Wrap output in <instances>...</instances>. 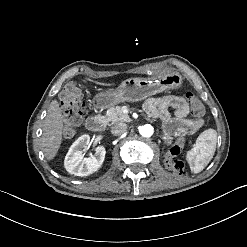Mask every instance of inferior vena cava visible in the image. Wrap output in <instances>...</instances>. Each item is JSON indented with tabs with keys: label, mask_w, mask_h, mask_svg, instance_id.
Wrapping results in <instances>:
<instances>
[{
	"label": "inferior vena cava",
	"mask_w": 247,
	"mask_h": 247,
	"mask_svg": "<svg viewBox=\"0 0 247 247\" xmlns=\"http://www.w3.org/2000/svg\"><path fill=\"white\" fill-rule=\"evenodd\" d=\"M127 131V124L123 122L114 123L111 127V133L113 135H121Z\"/></svg>",
	"instance_id": "602c4592"
}]
</instances>
